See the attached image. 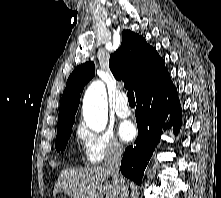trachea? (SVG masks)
Instances as JSON below:
<instances>
[{
    "instance_id": "1",
    "label": "trachea",
    "mask_w": 221,
    "mask_h": 198,
    "mask_svg": "<svg viewBox=\"0 0 221 198\" xmlns=\"http://www.w3.org/2000/svg\"><path fill=\"white\" fill-rule=\"evenodd\" d=\"M127 96H128L129 104H135V97H134V93L132 90L128 91Z\"/></svg>"
}]
</instances>
